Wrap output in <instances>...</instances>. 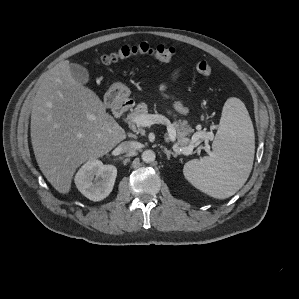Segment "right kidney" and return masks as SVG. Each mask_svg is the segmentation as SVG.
<instances>
[{
    "mask_svg": "<svg viewBox=\"0 0 299 299\" xmlns=\"http://www.w3.org/2000/svg\"><path fill=\"white\" fill-rule=\"evenodd\" d=\"M116 176L115 166L104 165L101 161L92 159L78 170L75 184L85 197L92 201H100L111 193Z\"/></svg>",
    "mask_w": 299,
    "mask_h": 299,
    "instance_id": "1",
    "label": "right kidney"
}]
</instances>
